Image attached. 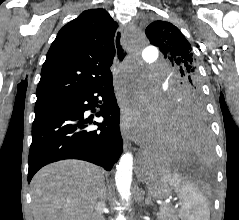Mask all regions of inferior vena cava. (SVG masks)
<instances>
[{
  "label": "inferior vena cava",
  "mask_w": 239,
  "mask_h": 220,
  "mask_svg": "<svg viewBox=\"0 0 239 220\" xmlns=\"http://www.w3.org/2000/svg\"><path fill=\"white\" fill-rule=\"evenodd\" d=\"M96 207H97V220H104L102 216V210L105 207L104 202L103 201L98 202Z\"/></svg>",
  "instance_id": "inferior-vena-cava-1"
}]
</instances>
